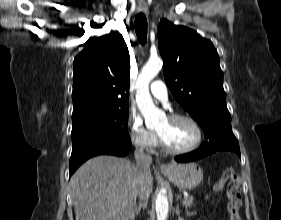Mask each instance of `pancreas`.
<instances>
[{
    "label": "pancreas",
    "instance_id": "cf45deb5",
    "mask_svg": "<svg viewBox=\"0 0 281 220\" xmlns=\"http://www.w3.org/2000/svg\"><path fill=\"white\" fill-rule=\"evenodd\" d=\"M183 205L186 208H190L192 205H194V198H193V196H186V197H184Z\"/></svg>",
    "mask_w": 281,
    "mask_h": 220
}]
</instances>
